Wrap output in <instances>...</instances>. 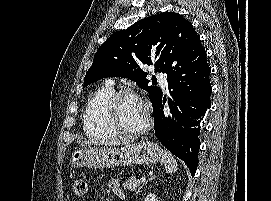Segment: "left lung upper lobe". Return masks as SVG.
Masks as SVG:
<instances>
[{"label": "left lung upper lobe", "instance_id": "obj_1", "mask_svg": "<svg viewBox=\"0 0 271 201\" xmlns=\"http://www.w3.org/2000/svg\"><path fill=\"white\" fill-rule=\"evenodd\" d=\"M198 36L192 24L178 13L164 12L139 20L113 33L97 50L84 78V87L106 77L129 78L146 90L152 105L162 93L149 85L141 67L155 59V72L166 73L175 43Z\"/></svg>", "mask_w": 271, "mask_h": 201}]
</instances>
